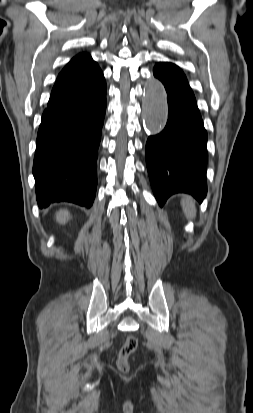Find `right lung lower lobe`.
<instances>
[{
  "instance_id": "1",
  "label": "right lung lower lobe",
  "mask_w": 253,
  "mask_h": 413,
  "mask_svg": "<svg viewBox=\"0 0 253 413\" xmlns=\"http://www.w3.org/2000/svg\"><path fill=\"white\" fill-rule=\"evenodd\" d=\"M105 109L104 80L93 92L43 112L33 166L40 208L60 201L93 204Z\"/></svg>"
}]
</instances>
